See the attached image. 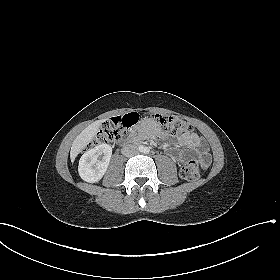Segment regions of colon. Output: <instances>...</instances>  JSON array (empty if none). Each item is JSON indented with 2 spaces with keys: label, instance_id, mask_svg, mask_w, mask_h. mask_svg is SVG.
<instances>
[{
  "label": "colon",
  "instance_id": "5ec220e1",
  "mask_svg": "<svg viewBox=\"0 0 280 280\" xmlns=\"http://www.w3.org/2000/svg\"><path fill=\"white\" fill-rule=\"evenodd\" d=\"M138 120L137 113H129L125 116H118L105 121L94 137L93 143L99 145L118 142L124 132L135 125ZM151 120L164 133L178 135L191 133L193 130L189 122L175 115L153 114L151 115ZM201 171L200 163L196 160H190L182 166L180 176L185 180L194 181L200 177Z\"/></svg>",
  "mask_w": 280,
  "mask_h": 280
}]
</instances>
